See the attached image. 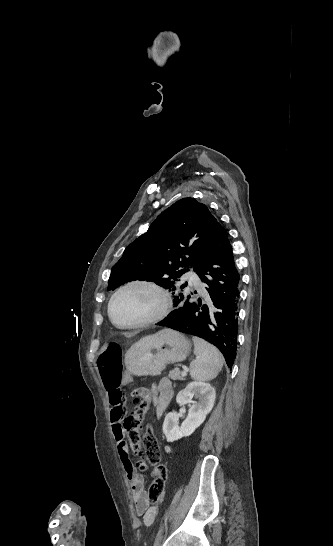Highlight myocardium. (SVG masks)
Segmentation results:
<instances>
[{"instance_id": "obj_1", "label": "myocardium", "mask_w": 333, "mask_h": 546, "mask_svg": "<svg viewBox=\"0 0 333 546\" xmlns=\"http://www.w3.org/2000/svg\"><path fill=\"white\" fill-rule=\"evenodd\" d=\"M147 288L149 290H152L159 299V304L155 311L149 315L148 317L132 323V324H119L115 321L113 314H112V307L117 299V297L124 292L125 290H128L130 288ZM170 309V298L167 293V291L157 282L148 280V279H135L131 280L123 285H121L111 296L108 306H107V313L109 320L111 323L118 329L122 330H135V329H142L148 326H151L153 324H156L163 320Z\"/></svg>"}]
</instances>
